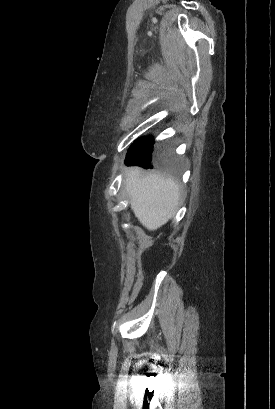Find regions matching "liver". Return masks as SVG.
<instances>
[{"label":"liver","instance_id":"obj_1","mask_svg":"<svg viewBox=\"0 0 275 409\" xmlns=\"http://www.w3.org/2000/svg\"><path fill=\"white\" fill-rule=\"evenodd\" d=\"M124 184L135 217L148 231H156L173 217L180 196L177 180L157 172L143 176L140 168L131 166Z\"/></svg>","mask_w":275,"mask_h":409}]
</instances>
